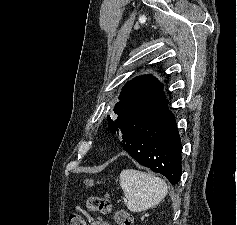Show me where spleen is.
I'll return each mask as SVG.
<instances>
[{
    "label": "spleen",
    "instance_id": "3e777b00",
    "mask_svg": "<svg viewBox=\"0 0 237 225\" xmlns=\"http://www.w3.org/2000/svg\"><path fill=\"white\" fill-rule=\"evenodd\" d=\"M120 186L132 212H142L159 204L168 193L166 182L139 170L126 169L120 174Z\"/></svg>",
    "mask_w": 237,
    "mask_h": 225
}]
</instances>
